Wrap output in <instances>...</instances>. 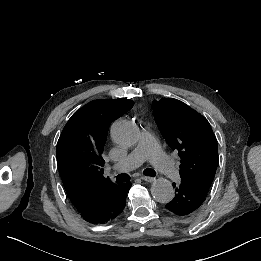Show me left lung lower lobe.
I'll list each match as a JSON object with an SVG mask.
<instances>
[{
  "label": "left lung lower lobe",
  "mask_w": 261,
  "mask_h": 261,
  "mask_svg": "<svg viewBox=\"0 0 261 261\" xmlns=\"http://www.w3.org/2000/svg\"><path fill=\"white\" fill-rule=\"evenodd\" d=\"M175 197L165 207L173 214L184 216L198 209L205 201L208 191L190 182L173 184Z\"/></svg>",
  "instance_id": "0a47b994"
}]
</instances>
